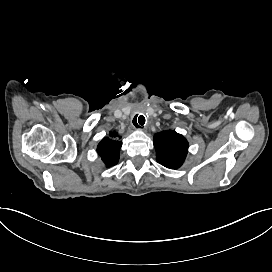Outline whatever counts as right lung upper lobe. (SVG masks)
Segmentation results:
<instances>
[{
  "mask_svg": "<svg viewBox=\"0 0 272 272\" xmlns=\"http://www.w3.org/2000/svg\"><path fill=\"white\" fill-rule=\"evenodd\" d=\"M110 136H117V134L115 132H110ZM121 145V142L114 141L109 137L104 138L99 143L97 147V152L107 167L116 165L118 163Z\"/></svg>",
  "mask_w": 272,
  "mask_h": 272,
  "instance_id": "obj_1",
  "label": "right lung upper lobe"
}]
</instances>
